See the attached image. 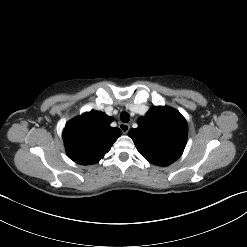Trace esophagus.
I'll use <instances>...</instances> for the list:
<instances>
[{
  "instance_id": "obj_1",
  "label": "esophagus",
  "mask_w": 247,
  "mask_h": 247,
  "mask_svg": "<svg viewBox=\"0 0 247 247\" xmlns=\"http://www.w3.org/2000/svg\"><path fill=\"white\" fill-rule=\"evenodd\" d=\"M119 128L121 129L123 134H127L128 131L130 130V125L126 123H120Z\"/></svg>"
}]
</instances>
